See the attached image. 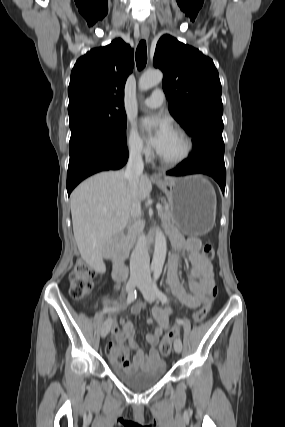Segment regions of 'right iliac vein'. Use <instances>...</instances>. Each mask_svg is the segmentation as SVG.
Listing matches in <instances>:
<instances>
[{"label":"right iliac vein","mask_w":285,"mask_h":427,"mask_svg":"<svg viewBox=\"0 0 285 427\" xmlns=\"http://www.w3.org/2000/svg\"><path fill=\"white\" fill-rule=\"evenodd\" d=\"M141 282L140 278H132L128 281L127 284V291L131 292L133 291V289L139 285ZM111 328V320H107L105 321V323L103 324L102 328H101V337L105 338L107 336V334L109 333Z\"/></svg>","instance_id":"obj_1"}]
</instances>
